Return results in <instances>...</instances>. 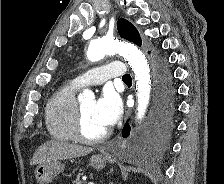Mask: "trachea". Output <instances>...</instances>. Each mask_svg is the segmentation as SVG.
I'll return each instance as SVG.
<instances>
[{"mask_svg":"<svg viewBox=\"0 0 224 184\" xmlns=\"http://www.w3.org/2000/svg\"><path fill=\"white\" fill-rule=\"evenodd\" d=\"M123 81H129V80H132L131 76L129 74L125 75L123 78H122Z\"/></svg>","mask_w":224,"mask_h":184,"instance_id":"obj_1","label":"trachea"}]
</instances>
